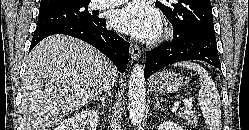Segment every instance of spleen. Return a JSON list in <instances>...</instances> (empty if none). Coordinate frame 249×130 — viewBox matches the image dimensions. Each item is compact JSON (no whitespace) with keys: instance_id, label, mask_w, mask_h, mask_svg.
Returning a JSON list of instances; mask_svg holds the SVG:
<instances>
[{"instance_id":"spleen-1","label":"spleen","mask_w":249,"mask_h":130,"mask_svg":"<svg viewBox=\"0 0 249 130\" xmlns=\"http://www.w3.org/2000/svg\"><path fill=\"white\" fill-rule=\"evenodd\" d=\"M175 66L192 69L199 74L201 87L198 92V104L201 112L209 130H221L220 96L208 72L199 64L190 61L180 62Z\"/></svg>"}]
</instances>
